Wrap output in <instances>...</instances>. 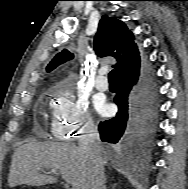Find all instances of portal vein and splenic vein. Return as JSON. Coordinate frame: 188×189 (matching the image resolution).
<instances>
[{"instance_id":"obj_1","label":"portal vein and splenic vein","mask_w":188,"mask_h":189,"mask_svg":"<svg viewBox=\"0 0 188 189\" xmlns=\"http://www.w3.org/2000/svg\"><path fill=\"white\" fill-rule=\"evenodd\" d=\"M50 174L56 175L57 173L54 170L49 171ZM73 189V188H71Z\"/></svg>"}]
</instances>
